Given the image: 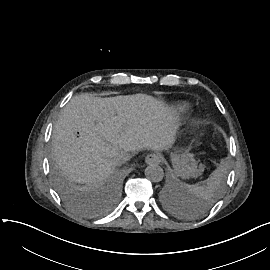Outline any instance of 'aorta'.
<instances>
[{"label": "aorta", "instance_id": "aorta-1", "mask_svg": "<svg viewBox=\"0 0 270 270\" xmlns=\"http://www.w3.org/2000/svg\"><path fill=\"white\" fill-rule=\"evenodd\" d=\"M145 176L151 182L158 183L163 180L164 171L158 164L149 165L145 170Z\"/></svg>", "mask_w": 270, "mask_h": 270}]
</instances>
